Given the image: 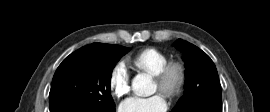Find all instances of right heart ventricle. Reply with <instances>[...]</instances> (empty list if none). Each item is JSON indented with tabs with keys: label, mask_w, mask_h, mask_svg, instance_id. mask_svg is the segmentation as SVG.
<instances>
[{
	"label": "right heart ventricle",
	"mask_w": 270,
	"mask_h": 112,
	"mask_svg": "<svg viewBox=\"0 0 270 112\" xmlns=\"http://www.w3.org/2000/svg\"><path fill=\"white\" fill-rule=\"evenodd\" d=\"M169 61V57L163 51L156 48H145L135 53L129 59V64L136 70L156 75L162 67Z\"/></svg>",
	"instance_id": "right-heart-ventricle-1"
}]
</instances>
